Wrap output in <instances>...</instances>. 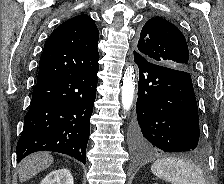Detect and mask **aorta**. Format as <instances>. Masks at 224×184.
<instances>
[{
	"label": "aorta",
	"instance_id": "aorta-1",
	"mask_svg": "<svg viewBox=\"0 0 224 184\" xmlns=\"http://www.w3.org/2000/svg\"><path fill=\"white\" fill-rule=\"evenodd\" d=\"M135 93V74L133 67H128L124 73L121 102L123 110L129 111L132 107Z\"/></svg>",
	"mask_w": 224,
	"mask_h": 184
}]
</instances>
